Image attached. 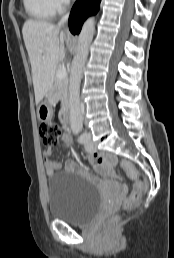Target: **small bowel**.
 <instances>
[{
	"label": "small bowel",
	"mask_w": 174,
	"mask_h": 258,
	"mask_svg": "<svg viewBox=\"0 0 174 258\" xmlns=\"http://www.w3.org/2000/svg\"><path fill=\"white\" fill-rule=\"evenodd\" d=\"M62 141L69 145L70 144V137L67 133L62 135ZM53 154V150L50 147H47L44 151V155L46 156L45 159V169L48 176H53L56 171L61 168V163L59 161L50 160L49 157ZM87 161L92 164H96V170L100 174H94L93 180L96 182L97 179H101V174L109 177L114 178V170L113 167L117 162V157L112 154L108 155H100L97 152L90 153L87 156ZM65 170L68 172H82L83 169L79 167L74 161L70 160L65 165Z\"/></svg>",
	"instance_id": "c3829d8e"
}]
</instances>
